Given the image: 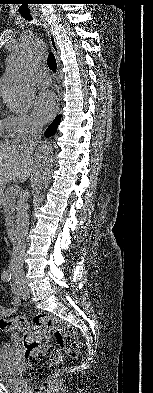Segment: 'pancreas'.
<instances>
[{
	"label": "pancreas",
	"instance_id": "1",
	"mask_svg": "<svg viewBox=\"0 0 153 393\" xmlns=\"http://www.w3.org/2000/svg\"><path fill=\"white\" fill-rule=\"evenodd\" d=\"M17 196L18 192H11L10 187H8L0 197V205L3 206L5 226L7 228L13 226Z\"/></svg>",
	"mask_w": 153,
	"mask_h": 393
}]
</instances>
